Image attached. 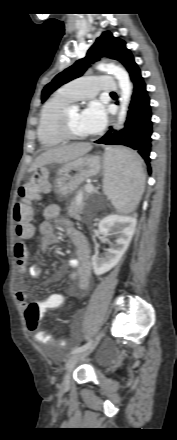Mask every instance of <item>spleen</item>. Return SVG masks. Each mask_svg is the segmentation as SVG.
<instances>
[{"mask_svg": "<svg viewBox=\"0 0 177 440\" xmlns=\"http://www.w3.org/2000/svg\"><path fill=\"white\" fill-rule=\"evenodd\" d=\"M104 170V193L118 211L132 212L144 191L145 175L141 158L126 148L112 149V160L105 163Z\"/></svg>", "mask_w": 177, "mask_h": 440, "instance_id": "spleen-1", "label": "spleen"}]
</instances>
